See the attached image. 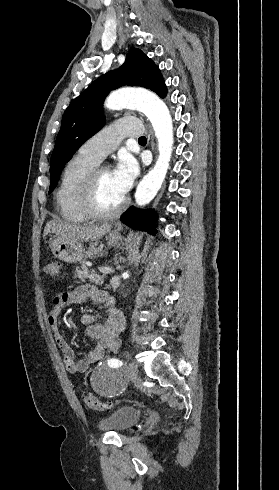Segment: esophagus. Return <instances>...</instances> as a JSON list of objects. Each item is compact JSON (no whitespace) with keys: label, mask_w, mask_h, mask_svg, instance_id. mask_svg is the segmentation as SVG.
I'll return each mask as SVG.
<instances>
[{"label":"esophagus","mask_w":279,"mask_h":490,"mask_svg":"<svg viewBox=\"0 0 279 490\" xmlns=\"http://www.w3.org/2000/svg\"><path fill=\"white\" fill-rule=\"evenodd\" d=\"M148 139L150 141V145L152 150L154 149V142H153V130L150 125H148Z\"/></svg>","instance_id":"esophagus-1"}]
</instances>
